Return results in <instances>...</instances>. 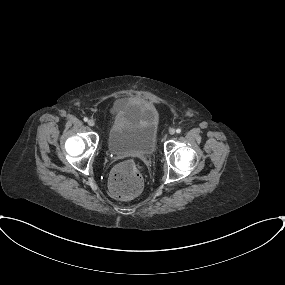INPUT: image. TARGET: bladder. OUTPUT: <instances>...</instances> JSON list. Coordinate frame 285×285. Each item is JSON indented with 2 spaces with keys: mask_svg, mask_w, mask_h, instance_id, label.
<instances>
[{
  "mask_svg": "<svg viewBox=\"0 0 285 285\" xmlns=\"http://www.w3.org/2000/svg\"><path fill=\"white\" fill-rule=\"evenodd\" d=\"M119 121L113 124L106 138V148L113 155H153L156 149V128L149 120L148 109L140 103L128 110L118 107Z\"/></svg>",
  "mask_w": 285,
  "mask_h": 285,
  "instance_id": "1",
  "label": "bladder"
}]
</instances>
